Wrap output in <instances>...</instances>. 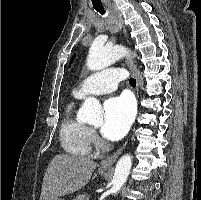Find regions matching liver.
Wrapping results in <instances>:
<instances>
[{
    "instance_id": "obj_1",
    "label": "liver",
    "mask_w": 201,
    "mask_h": 200,
    "mask_svg": "<svg viewBox=\"0 0 201 200\" xmlns=\"http://www.w3.org/2000/svg\"><path fill=\"white\" fill-rule=\"evenodd\" d=\"M96 167L97 163L86 157L56 155L44 174L40 200H52L78 191L89 182Z\"/></svg>"
}]
</instances>
